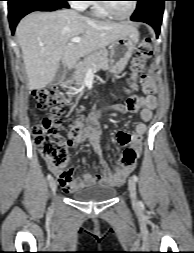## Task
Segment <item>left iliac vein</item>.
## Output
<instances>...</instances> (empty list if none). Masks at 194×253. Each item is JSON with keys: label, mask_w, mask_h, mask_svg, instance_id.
Listing matches in <instances>:
<instances>
[{"label": "left iliac vein", "mask_w": 194, "mask_h": 253, "mask_svg": "<svg viewBox=\"0 0 194 253\" xmlns=\"http://www.w3.org/2000/svg\"><path fill=\"white\" fill-rule=\"evenodd\" d=\"M128 188H129L132 204L136 206L138 204V201H137V196H136V185H135L134 180H129Z\"/></svg>", "instance_id": "left-iliac-vein-1"}]
</instances>
